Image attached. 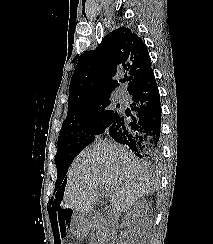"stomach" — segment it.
<instances>
[{"instance_id": "1", "label": "stomach", "mask_w": 213, "mask_h": 244, "mask_svg": "<svg viewBox=\"0 0 213 244\" xmlns=\"http://www.w3.org/2000/svg\"><path fill=\"white\" fill-rule=\"evenodd\" d=\"M84 226H85V221H74L72 233L75 234L77 237H82Z\"/></svg>"}]
</instances>
